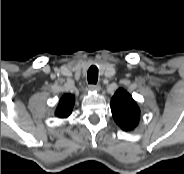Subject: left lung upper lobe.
I'll use <instances>...</instances> for the list:
<instances>
[{"label":"left lung upper lobe","mask_w":184,"mask_h":174,"mask_svg":"<svg viewBox=\"0 0 184 174\" xmlns=\"http://www.w3.org/2000/svg\"><path fill=\"white\" fill-rule=\"evenodd\" d=\"M111 111L116 124L124 131H132L139 122L140 109L123 88H119L111 98Z\"/></svg>","instance_id":"1"}]
</instances>
